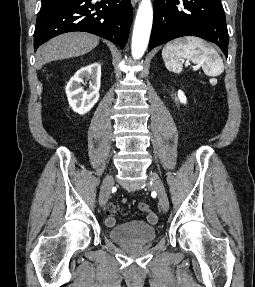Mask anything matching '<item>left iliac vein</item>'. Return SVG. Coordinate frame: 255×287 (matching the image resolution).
<instances>
[{"label":"left iliac vein","instance_id":"4c4485c4","mask_svg":"<svg viewBox=\"0 0 255 287\" xmlns=\"http://www.w3.org/2000/svg\"><path fill=\"white\" fill-rule=\"evenodd\" d=\"M148 180L157 192L161 209L164 212H167L169 210V200L162 180L160 179L159 175L154 171H149Z\"/></svg>","mask_w":255,"mask_h":287}]
</instances>
